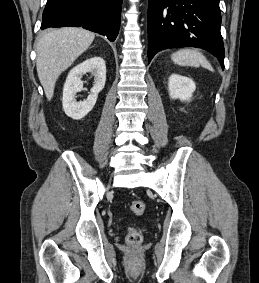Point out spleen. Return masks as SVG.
I'll return each mask as SVG.
<instances>
[{
	"label": "spleen",
	"mask_w": 259,
	"mask_h": 283,
	"mask_svg": "<svg viewBox=\"0 0 259 283\" xmlns=\"http://www.w3.org/2000/svg\"><path fill=\"white\" fill-rule=\"evenodd\" d=\"M172 61L180 66H202L205 69L213 71V68L206 57L193 49H181L171 56Z\"/></svg>",
	"instance_id": "3e777b00"
}]
</instances>
